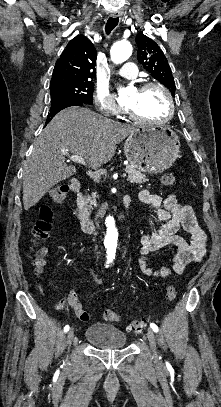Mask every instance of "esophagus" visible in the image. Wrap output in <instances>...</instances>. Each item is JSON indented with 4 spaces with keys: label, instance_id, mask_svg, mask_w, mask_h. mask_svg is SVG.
I'll use <instances>...</instances> for the list:
<instances>
[{
    "label": "esophagus",
    "instance_id": "esophagus-1",
    "mask_svg": "<svg viewBox=\"0 0 221 407\" xmlns=\"http://www.w3.org/2000/svg\"><path fill=\"white\" fill-rule=\"evenodd\" d=\"M112 17L113 18H121L122 17V12L116 11L114 13H112Z\"/></svg>",
    "mask_w": 221,
    "mask_h": 407
}]
</instances>
